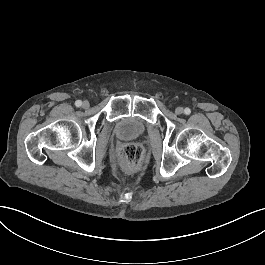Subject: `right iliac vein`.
<instances>
[{
	"instance_id": "obj_1",
	"label": "right iliac vein",
	"mask_w": 265,
	"mask_h": 265,
	"mask_svg": "<svg viewBox=\"0 0 265 265\" xmlns=\"http://www.w3.org/2000/svg\"><path fill=\"white\" fill-rule=\"evenodd\" d=\"M83 108H88L89 107V102L88 101H84L82 104Z\"/></svg>"
}]
</instances>
